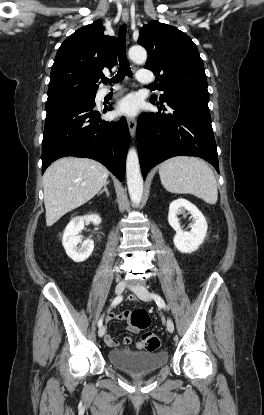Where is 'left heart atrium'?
Wrapping results in <instances>:
<instances>
[{
  "label": "left heart atrium",
  "mask_w": 264,
  "mask_h": 415,
  "mask_svg": "<svg viewBox=\"0 0 264 415\" xmlns=\"http://www.w3.org/2000/svg\"><path fill=\"white\" fill-rule=\"evenodd\" d=\"M118 114L134 116L139 112V99L135 94L124 97L117 106Z\"/></svg>",
  "instance_id": "obj_1"
}]
</instances>
